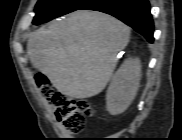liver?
<instances>
[{"mask_svg":"<svg viewBox=\"0 0 182 140\" xmlns=\"http://www.w3.org/2000/svg\"><path fill=\"white\" fill-rule=\"evenodd\" d=\"M129 37L130 28L116 18L78 10L34 32L28 56L57 91L84 99L105 89L116 67L117 53L127 46Z\"/></svg>","mask_w":182,"mask_h":140,"instance_id":"liver-1","label":"liver"}]
</instances>
